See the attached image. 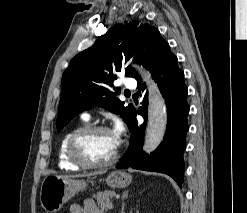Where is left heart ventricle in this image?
I'll use <instances>...</instances> for the list:
<instances>
[{
	"mask_svg": "<svg viewBox=\"0 0 247 213\" xmlns=\"http://www.w3.org/2000/svg\"><path fill=\"white\" fill-rule=\"evenodd\" d=\"M117 145L109 131L94 133L85 138L81 144L83 155L93 162H104L110 159Z\"/></svg>",
	"mask_w": 247,
	"mask_h": 213,
	"instance_id": "left-heart-ventricle-1",
	"label": "left heart ventricle"
}]
</instances>
